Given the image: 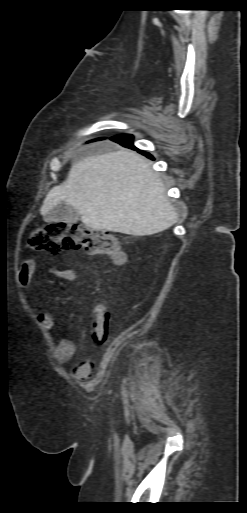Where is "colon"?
Instances as JSON below:
<instances>
[{"instance_id":"1","label":"colon","mask_w":247,"mask_h":513,"mask_svg":"<svg viewBox=\"0 0 247 513\" xmlns=\"http://www.w3.org/2000/svg\"><path fill=\"white\" fill-rule=\"evenodd\" d=\"M32 245L52 252L67 248L81 249L89 254L109 255L119 263L125 262L127 258L119 250L115 236L80 223L46 224L36 233ZM92 312V339L96 344H102L107 339L111 323V305L107 300H96L92 305Z\"/></svg>"}]
</instances>
